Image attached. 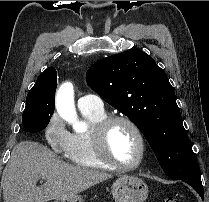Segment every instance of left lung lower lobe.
Here are the masks:
<instances>
[{
  "label": "left lung lower lobe",
  "mask_w": 209,
  "mask_h": 202,
  "mask_svg": "<svg viewBox=\"0 0 209 202\" xmlns=\"http://www.w3.org/2000/svg\"><path fill=\"white\" fill-rule=\"evenodd\" d=\"M179 180H182L192 186L204 200V190L201 182V176L199 173Z\"/></svg>",
  "instance_id": "left-lung-lower-lobe-1"
}]
</instances>
